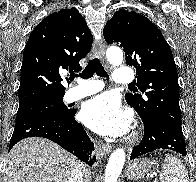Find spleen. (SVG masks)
Returning a JSON list of instances; mask_svg holds the SVG:
<instances>
[{"label":"spleen","mask_w":196,"mask_h":182,"mask_svg":"<svg viewBox=\"0 0 196 182\" xmlns=\"http://www.w3.org/2000/svg\"><path fill=\"white\" fill-rule=\"evenodd\" d=\"M159 179L161 182H189L188 172L184 164L171 154L165 156V163Z\"/></svg>","instance_id":"spleen-1"}]
</instances>
